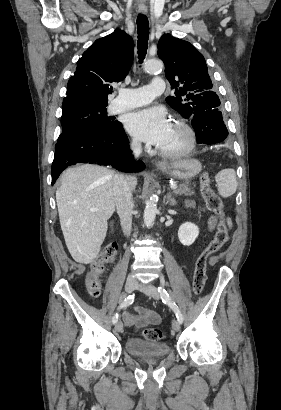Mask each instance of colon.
<instances>
[{
  "label": "colon",
  "instance_id": "colon-1",
  "mask_svg": "<svg viewBox=\"0 0 281 410\" xmlns=\"http://www.w3.org/2000/svg\"><path fill=\"white\" fill-rule=\"evenodd\" d=\"M201 192L209 211L219 216L220 222L214 238L208 246L199 254L195 262L193 274V292L200 295L203 292L206 281V269L210 256L219 251L228 241L229 218L225 214L222 201L211 185V177L204 173L201 177ZM118 245L111 243L102 248L98 257L92 262L90 271L85 277V286L93 298H98L101 294L100 275L103 272L104 265L112 263L117 255ZM144 336L150 341H159L165 337L164 332L156 328H146Z\"/></svg>",
  "mask_w": 281,
  "mask_h": 410
}]
</instances>
